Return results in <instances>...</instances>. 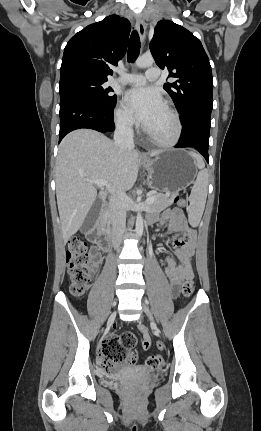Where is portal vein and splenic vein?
Here are the masks:
<instances>
[{
	"label": "portal vein and splenic vein",
	"mask_w": 261,
	"mask_h": 431,
	"mask_svg": "<svg viewBox=\"0 0 261 431\" xmlns=\"http://www.w3.org/2000/svg\"><path fill=\"white\" fill-rule=\"evenodd\" d=\"M90 183H93L94 185H96L98 188H102L104 186L109 188L110 193H114V190H112L110 188V186L107 184L106 180L103 179H98V180H93V181H89ZM155 198L150 196L146 199V204H152L154 202Z\"/></svg>",
	"instance_id": "18ae733b"
}]
</instances>
